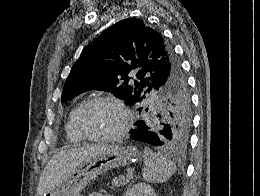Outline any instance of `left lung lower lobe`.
Returning a JSON list of instances; mask_svg holds the SVG:
<instances>
[{
	"mask_svg": "<svg viewBox=\"0 0 260 196\" xmlns=\"http://www.w3.org/2000/svg\"><path fill=\"white\" fill-rule=\"evenodd\" d=\"M134 125L136 128L129 131L130 137L132 139L154 146H160L161 140L159 134L150 131L146 122L140 120L134 123Z\"/></svg>",
	"mask_w": 260,
	"mask_h": 196,
	"instance_id": "1",
	"label": "left lung lower lobe"
}]
</instances>
